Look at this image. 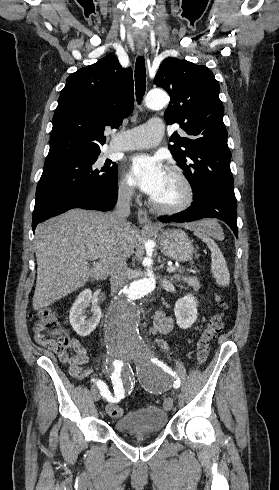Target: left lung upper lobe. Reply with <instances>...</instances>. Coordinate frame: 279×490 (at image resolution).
Returning a JSON list of instances; mask_svg holds the SVG:
<instances>
[{"mask_svg": "<svg viewBox=\"0 0 279 490\" xmlns=\"http://www.w3.org/2000/svg\"><path fill=\"white\" fill-rule=\"evenodd\" d=\"M154 83L171 97L164 113L167 124L178 123L186 133L182 137L174 132L169 149L185 171L193 196L209 185L234 190L224 109L214 74L206 66L169 57L161 63Z\"/></svg>", "mask_w": 279, "mask_h": 490, "instance_id": "1", "label": "left lung upper lobe"}]
</instances>
